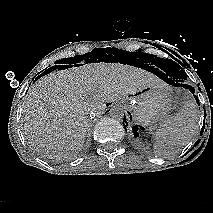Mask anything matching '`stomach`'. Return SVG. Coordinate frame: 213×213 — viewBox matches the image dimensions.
Masks as SVG:
<instances>
[{"instance_id":"1","label":"stomach","mask_w":213,"mask_h":213,"mask_svg":"<svg viewBox=\"0 0 213 213\" xmlns=\"http://www.w3.org/2000/svg\"><path fill=\"white\" fill-rule=\"evenodd\" d=\"M125 102L134 121L149 129L161 123L173 109L171 95L162 86H152L130 94Z\"/></svg>"}]
</instances>
